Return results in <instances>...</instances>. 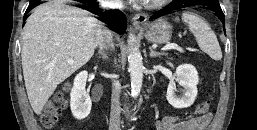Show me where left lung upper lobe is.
<instances>
[{"label":"left lung upper lobe","instance_id":"5c2ea615","mask_svg":"<svg viewBox=\"0 0 257 130\" xmlns=\"http://www.w3.org/2000/svg\"><path fill=\"white\" fill-rule=\"evenodd\" d=\"M176 1H179V0H173V2H176Z\"/></svg>","mask_w":257,"mask_h":130}]
</instances>
